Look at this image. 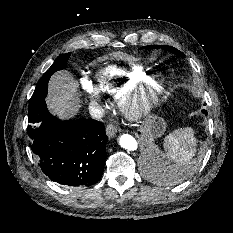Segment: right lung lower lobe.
<instances>
[{"label":"right lung lower lobe","mask_w":233,"mask_h":233,"mask_svg":"<svg viewBox=\"0 0 233 233\" xmlns=\"http://www.w3.org/2000/svg\"><path fill=\"white\" fill-rule=\"evenodd\" d=\"M106 141L101 122L85 118L64 122L48 114L31 148L52 181L73 187L90 186L102 176Z\"/></svg>","instance_id":"98d812e1"}]
</instances>
